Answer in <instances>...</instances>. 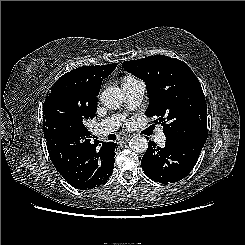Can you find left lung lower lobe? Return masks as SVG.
Listing matches in <instances>:
<instances>
[{
  "label": "left lung lower lobe",
  "mask_w": 245,
  "mask_h": 245,
  "mask_svg": "<svg viewBox=\"0 0 245 245\" xmlns=\"http://www.w3.org/2000/svg\"><path fill=\"white\" fill-rule=\"evenodd\" d=\"M205 141L196 137L176 140L166 138L164 148L150 141L141 160L144 173L162 184L180 181L194 168Z\"/></svg>",
  "instance_id": "1"
}]
</instances>
